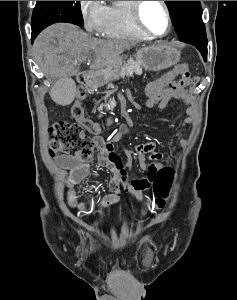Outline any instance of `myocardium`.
<instances>
[{"mask_svg":"<svg viewBox=\"0 0 237 300\" xmlns=\"http://www.w3.org/2000/svg\"><path fill=\"white\" fill-rule=\"evenodd\" d=\"M146 1H133V6H132V13L134 17V21L139 27V29L145 33L148 36H151L153 38H165L171 31L172 28V18H171V12L170 8L167 4L166 1H159L160 4L162 5L165 16H166V22H167V27L166 31L163 34H155L152 31H150L147 26L144 24L143 19H142V9Z\"/></svg>","mask_w":237,"mask_h":300,"instance_id":"obj_1","label":"myocardium"}]
</instances>
